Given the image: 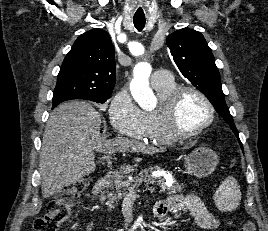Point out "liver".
I'll return each mask as SVG.
<instances>
[{
	"label": "liver",
	"mask_w": 268,
	"mask_h": 231,
	"mask_svg": "<svg viewBox=\"0 0 268 231\" xmlns=\"http://www.w3.org/2000/svg\"><path fill=\"white\" fill-rule=\"evenodd\" d=\"M101 115L84 101H70L50 114L43 134L39 171L42 196L49 198L95 171L94 150L106 154L117 151L152 153V146L117 137L105 140L100 136ZM139 162L141 158L136 157Z\"/></svg>",
	"instance_id": "6515ba94"
}]
</instances>
